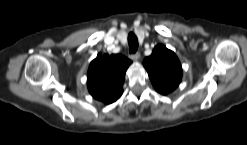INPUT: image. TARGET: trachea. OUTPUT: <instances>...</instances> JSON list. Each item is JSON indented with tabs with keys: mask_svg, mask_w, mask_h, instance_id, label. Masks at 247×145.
I'll return each mask as SVG.
<instances>
[{
	"mask_svg": "<svg viewBox=\"0 0 247 145\" xmlns=\"http://www.w3.org/2000/svg\"><path fill=\"white\" fill-rule=\"evenodd\" d=\"M128 44H129V53L133 54L136 53L138 49V39L136 35L132 32L128 35Z\"/></svg>",
	"mask_w": 247,
	"mask_h": 145,
	"instance_id": "obj_1",
	"label": "trachea"
}]
</instances>
